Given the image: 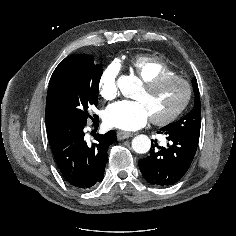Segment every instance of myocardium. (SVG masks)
<instances>
[{
	"label": "myocardium",
	"mask_w": 236,
	"mask_h": 236,
	"mask_svg": "<svg viewBox=\"0 0 236 236\" xmlns=\"http://www.w3.org/2000/svg\"><path fill=\"white\" fill-rule=\"evenodd\" d=\"M170 81H179L181 82L186 89V94L184 97V100L182 101V103L172 112H170L169 114L163 116V117H151V121L156 124V125H166L171 123L172 121H174L187 107L190 99H191V95H192V89L191 86L189 84V82L184 79L181 76L178 75H162L159 77H156L154 79H151L149 81H146L143 83V88L147 91H151L154 90L158 87H160L161 85H163L166 82H170Z\"/></svg>",
	"instance_id": "1"
}]
</instances>
